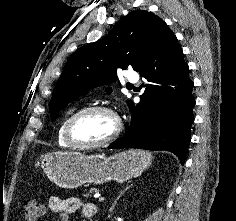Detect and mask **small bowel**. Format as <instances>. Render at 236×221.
<instances>
[{
    "instance_id": "c3829d8e",
    "label": "small bowel",
    "mask_w": 236,
    "mask_h": 221,
    "mask_svg": "<svg viewBox=\"0 0 236 221\" xmlns=\"http://www.w3.org/2000/svg\"><path fill=\"white\" fill-rule=\"evenodd\" d=\"M49 210L57 215L59 221H68L69 215L82 211V214L87 219H92L97 214V206L90 202H83L78 197L52 196L48 201Z\"/></svg>"
}]
</instances>
